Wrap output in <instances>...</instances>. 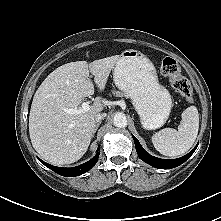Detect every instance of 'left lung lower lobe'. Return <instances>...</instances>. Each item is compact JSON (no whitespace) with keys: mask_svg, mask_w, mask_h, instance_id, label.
I'll return each mask as SVG.
<instances>
[{"mask_svg":"<svg viewBox=\"0 0 221 221\" xmlns=\"http://www.w3.org/2000/svg\"><path fill=\"white\" fill-rule=\"evenodd\" d=\"M134 142H135V147H136V151L138 153L139 158L146 162L147 164L159 168V169H172L175 168L181 164H183L196 150L197 146L187 155L181 157V158H177V159H160V158H156L154 156H151L150 154H148L143 147L141 146V144L139 143L138 139L135 138L132 135Z\"/></svg>","mask_w":221,"mask_h":221,"instance_id":"1","label":"left lung lower lobe"}]
</instances>
